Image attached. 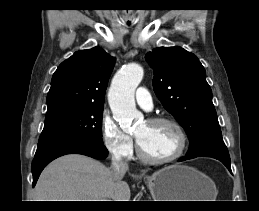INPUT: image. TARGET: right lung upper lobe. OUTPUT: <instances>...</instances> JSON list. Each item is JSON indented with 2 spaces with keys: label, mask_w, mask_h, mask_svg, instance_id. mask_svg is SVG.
Here are the masks:
<instances>
[{
  "label": "right lung upper lobe",
  "mask_w": 259,
  "mask_h": 211,
  "mask_svg": "<svg viewBox=\"0 0 259 211\" xmlns=\"http://www.w3.org/2000/svg\"><path fill=\"white\" fill-rule=\"evenodd\" d=\"M114 63L99 47L78 51L62 62L52 77L45 122L87 107L104 106Z\"/></svg>",
  "instance_id": "1"
}]
</instances>
